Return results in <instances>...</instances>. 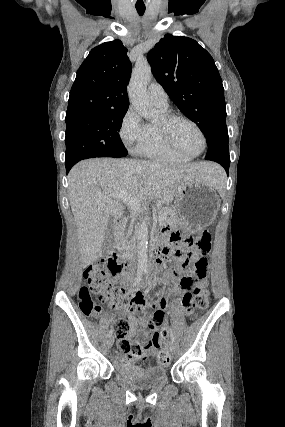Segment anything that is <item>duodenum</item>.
Returning <instances> with one entry per match:
<instances>
[{
  "label": "duodenum",
  "mask_w": 285,
  "mask_h": 427,
  "mask_svg": "<svg viewBox=\"0 0 285 427\" xmlns=\"http://www.w3.org/2000/svg\"><path fill=\"white\" fill-rule=\"evenodd\" d=\"M127 225V221L125 218H118L115 221V229L116 231H121L123 230ZM114 252V250L112 251ZM168 252V246L166 244H161L159 245L155 250H154V256L155 259H162L165 257L166 253Z\"/></svg>",
  "instance_id": "1"
}]
</instances>
